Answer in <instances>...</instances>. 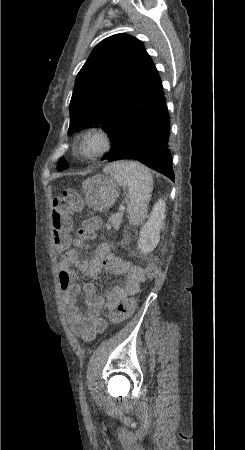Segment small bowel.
Returning a JSON list of instances; mask_svg holds the SVG:
<instances>
[{
    "label": "small bowel",
    "instance_id": "obj_1",
    "mask_svg": "<svg viewBox=\"0 0 245 450\" xmlns=\"http://www.w3.org/2000/svg\"><path fill=\"white\" fill-rule=\"evenodd\" d=\"M72 266L80 267L89 276H96L101 271H105L109 274L126 276V279L101 297L97 294L94 283L86 282L81 287L78 275ZM58 277L61 289L64 291L65 314L74 332L86 340L92 339L97 333L105 330L103 312L115 310L119 301L135 293L144 280L140 268L111 254L109 246L105 243L99 244L89 258L84 256L82 250H69L59 262ZM82 289L85 292V310L79 308L77 304Z\"/></svg>",
    "mask_w": 245,
    "mask_h": 450
}]
</instances>
